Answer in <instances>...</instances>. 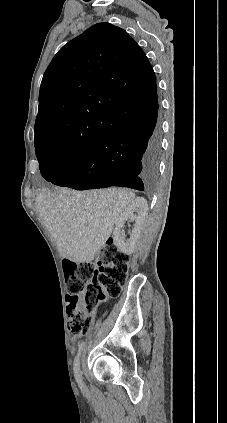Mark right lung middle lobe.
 <instances>
[{
	"label": "right lung middle lobe",
	"mask_w": 227,
	"mask_h": 423,
	"mask_svg": "<svg viewBox=\"0 0 227 423\" xmlns=\"http://www.w3.org/2000/svg\"><path fill=\"white\" fill-rule=\"evenodd\" d=\"M88 148H72L56 139L35 141V152L39 165L44 163L66 168L87 155Z\"/></svg>",
	"instance_id": "1"
}]
</instances>
